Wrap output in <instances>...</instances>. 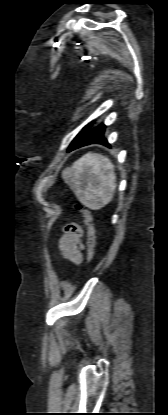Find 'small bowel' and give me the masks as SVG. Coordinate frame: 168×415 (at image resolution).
<instances>
[{
    "label": "small bowel",
    "mask_w": 168,
    "mask_h": 415,
    "mask_svg": "<svg viewBox=\"0 0 168 415\" xmlns=\"http://www.w3.org/2000/svg\"><path fill=\"white\" fill-rule=\"evenodd\" d=\"M65 229L66 232L59 239L58 249L64 259L78 264L82 260V231L74 224L68 225Z\"/></svg>",
    "instance_id": "c3829d8e"
}]
</instances>
